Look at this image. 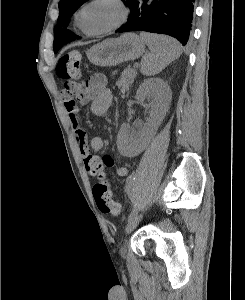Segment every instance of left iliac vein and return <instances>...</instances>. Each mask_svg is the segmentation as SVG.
Segmentation results:
<instances>
[{"mask_svg":"<svg viewBox=\"0 0 245 300\" xmlns=\"http://www.w3.org/2000/svg\"><path fill=\"white\" fill-rule=\"evenodd\" d=\"M142 219V214L136 215L133 219L128 221V224L126 226L125 232L126 234H129L131 231H133L136 226L139 224L140 220ZM126 248L124 245L120 248V254L122 257H125Z\"/></svg>","mask_w":245,"mask_h":300,"instance_id":"4c4485c4","label":"left iliac vein"}]
</instances>
